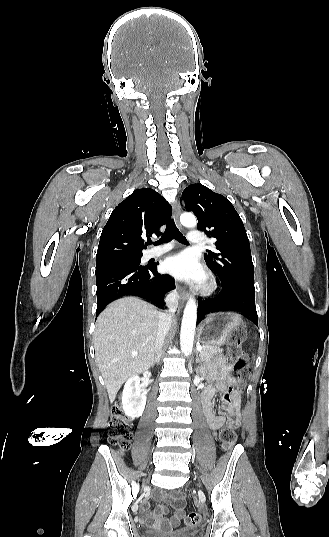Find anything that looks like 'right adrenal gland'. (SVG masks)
<instances>
[{
  "label": "right adrenal gland",
  "mask_w": 329,
  "mask_h": 537,
  "mask_svg": "<svg viewBox=\"0 0 329 537\" xmlns=\"http://www.w3.org/2000/svg\"><path fill=\"white\" fill-rule=\"evenodd\" d=\"M161 354L158 353L155 359L152 361L151 366H154L155 364H159Z\"/></svg>",
  "instance_id": "1"
}]
</instances>
